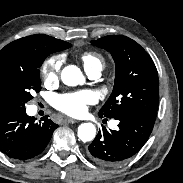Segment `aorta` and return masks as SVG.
Listing matches in <instances>:
<instances>
[{
    "label": "aorta",
    "mask_w": 183,
    "mask_h": 183,
    "mask_svg": "<svg viewBox=\"0 0 183 183\" xmlns=\"http://www.w3.org/2000/svg\"><path fill=\"white\" fill-rule=\"evenodd\" d=\"M61 80L67 86H77L85 83L81 70L75 65H68L63 68ZM77 134L83 142L92 141L96 135V127L92 123H82L78 127Z\"/></svg>",
    "instance_id": "762f6f07"
}]
</instances>
